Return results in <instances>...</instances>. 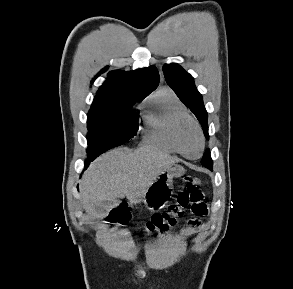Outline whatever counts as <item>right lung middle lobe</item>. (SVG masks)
<instances>
[{"instance_id": "1", "label": "right lung middle lobe", "mask_w": 293, "mask_h": 289, "mask_svg": "<svg viewBox=\"0 0 293 289\" xmlns=\"http://www.w3.org/2000/svg\"><path fill=\"white\" fill-rule=\"evenodd\" d=\"M138 99L93 105L88 113V158L93 160L110 148L122 145L136 135L138 113H131Z\"/></svg>"}]
</instances>
